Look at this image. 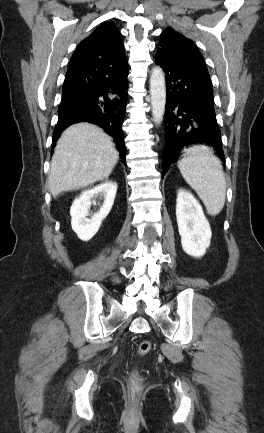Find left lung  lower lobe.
<instances>
[{"instance_id":"left-lung-lower-lobe-1","label":"left lung lower lobe","mask_w":264,"mask_h":433,"mask_svg":"<svg viewBox=\"0 0 264 433\" xmlns=\"http://www.w3.org/2000/svg\"><path fill=\"white\" fill-rule=\"evenodd\" d=\"M156 63L165 72L167 88L162 176L179 151L192 144L212 146L225 162L209 74L180 68L159 56Z\"/></svg>"}]
</instances>
